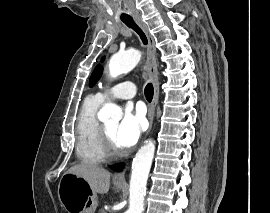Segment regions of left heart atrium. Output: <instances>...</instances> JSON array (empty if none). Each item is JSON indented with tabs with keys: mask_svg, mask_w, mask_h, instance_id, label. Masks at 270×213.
<instances>
[{
	"mask_svg": "<svg viewBox=\"0 0 270 213\" xmlns=\"http://www.w3.org/2000/svg\"><path fill=\"white\" fill-rule=\"evenodd\" d=\"M145 128V119L140 112L126 109L118 124L115 139L121 149L134 146Z\"/></svg>",
	"mask_w": 270,
	"mask_h": 213,
	"instance_id": "39dd6f15",
	"label": "left heart atrium"
}]
</instances>
